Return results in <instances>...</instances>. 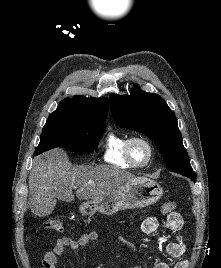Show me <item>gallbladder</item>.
I'll use <instances>...</instances> for the list:
<instances>
[{
    "instance_id": "1",
    "label": "gallbladder",
    "mask_w": 221,
    "mask_h": 268,
    "mask_svg": "<svg viewBox=\"0 0 221 268\" xmlns=\"http://www.w3.org/2000/svg\"><path fill=\"white\" fill-rule=\"evenodd\" d=\"M55 207V199H33L31 210L35 217H48Z\"/></svg>"
}]
</instances>
